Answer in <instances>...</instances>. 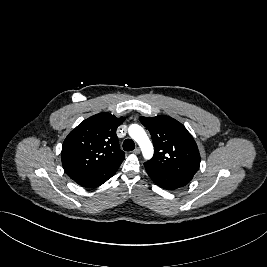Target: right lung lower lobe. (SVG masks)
<instances>
[{"label":"right lung lower lobe","instance_id":"98d812e1","mask_svg":"<svg viewBox=\"0 0 267 267\" xmlns=\"http://www.w3.org/2000/svg\"><path fill=\"white\" fill-rule=\"evenodd\" d=\"M119 166L120 164H114L109 167H105L100 170L81 176L79 178H76L74 179V181L84 187H98L105 183L108 179H110L116 173Z\"/></svg>","mask_w":267,"mask_h":267}]
</instances>
